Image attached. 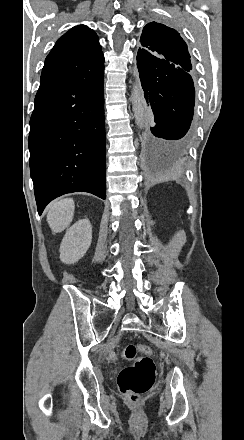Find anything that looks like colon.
I'll return each mask as SVG.
<instances>
[{
    "label": "colon",
    "instance_id": "5ec220e1",
    "mask_svg": "<svg viewBox=\"0 0 244 440\" xmlns=\"http://www.w3.org/2000/svg\"><path fill=\"white\" fill-rule=\"evenodd\" d=\"M121 358L134 362V365L119 374L120 391L130 402H136L152 388L155 381L156 371L151 352L140 343L128 344L122 350Z\"/></svg>",
    "mask_w": 244,
    "mask_h": 440
}]
</instances>
